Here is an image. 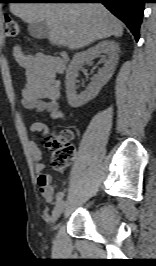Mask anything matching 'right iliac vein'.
Here are the masks:
<instances>
[{"label": "right iliac vein", "mask_w": 156, "mask_h": 266, "mask_svg": "<svg viewBox=\"0 0 156 266\" xmlns=\"http://www.w3.org/2000/svg\"><path fill=\"white\" fill-rule=\"evenodd\" d=\"M66 207V203L65 201H60L55 208L52 211V215H51V223L54 224L57 219L61 216V214L63 213L64 209Z\"/></svg>", "instance_id": "1"}]
</instances>
